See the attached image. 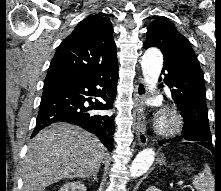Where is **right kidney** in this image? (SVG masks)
Listing matches in <instances>:
<instances>
[{"mask_svg":"<svg viewBox=\"0 0 221 191\" xmlns=\"http://www.w3.org/2000/svg\"><path fill=\"white\" fill-rule=\"evenodd\" d=\"M59 191H87V189L84 184L77 181L64 184Z\"/></svg>","mask_w":221,"mask_h":191,"instance_id":"1","label":"right kidney"}]
</instances>
